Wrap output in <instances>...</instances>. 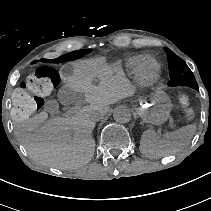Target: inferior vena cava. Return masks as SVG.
<instances>
[{
	"instance_id": "602c4592",
	"label": "inferior vena cava",
	"mask_w": 211,
	"mask_h": 211,
	"mask_svg": "<svg viewBox=\"0 0 211 211\" xmlns=\"http://www.w3.org/2000/svg\"><path fill=\"white\" fill-rule=\"evenodd\" d=\"M101 118H102V114L99 113V112L94 113V114L92 115V117H91V119L94 120V121H97V120H99V119H101Z\"/></svg>"
}]
</instances>
